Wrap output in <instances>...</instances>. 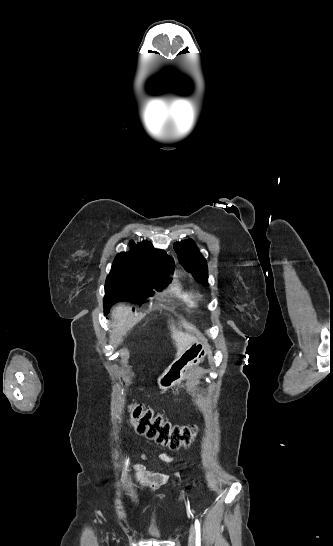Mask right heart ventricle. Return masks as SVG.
<instances>
[{
  "label": "right heart ventricle",
  "mask_w": 333,
  "mask_h": 546,
  "mask_svg": "<svg viewBox=\"0 0 333 546\" xmlns=\"http://www.w3.org/2000/svg\"><path fill=\"white\" fill-rule=\"evenodd\" d=\"M171 290H172V293H174L175 295L187 300V301H192L194 296L183 290L182 287L179 285V283L177 282H173L172 285H171Z\"/></svg>",
  "instance_id": "e07e8e85"
}]
</instances>
